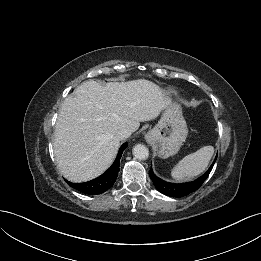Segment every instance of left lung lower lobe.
Instances as JSON below:
<instances>
[{
    "mask_svg": "<svg viewBox=\"0 0 261 261\" xmlns=\"http://www.w3.org/2000/svg\"><path fill=\"white\" fill-rule=\"evenodd\" d=\"M216 159L217 156L215 157L209 169L202 176H200L199 178L191 182L180 183V184L166 182L161 178H159L158 176H156L152 171V168L149 170V176L154 186L159 192H161L166 196L180 198L183 196H187L192 192H195L204 183V181L207 179L208 175L210 174Z\"/></svg>",
    "mask_w": 261,
    "mask_h": 261,
    "instance_id": "0a47b994",
    "label": "left lung lower lobe"
}]
</instances>
